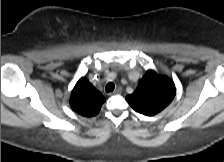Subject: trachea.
Here are the masks:
<instances>
[{"label": "trachea", "mask_w": 224, "mask_h": 162, "mask_svg": "<svg viewBox=\"0 0 224 162\" xmlns=\"http://www.w3.org/2000/svg\"><path fill=\"white\" fill-rule=\"evenodd\" d=\"M114 88H115L114 83L110 82L106 85L105 90H106V92H112L114 90Z\"/></svg>", "instance_id": "trachea-1"}]
</instances>
